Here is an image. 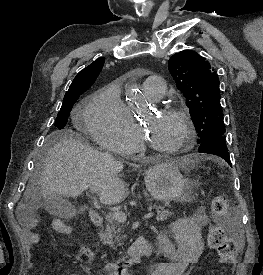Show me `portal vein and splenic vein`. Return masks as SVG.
<instances>
[{"label": "portal vein and splenic vein", "instance_id": "portal-vein-and-splenic-vein-1", "mask_svg": "<svg viewBox=\"0 0 263 275\" xmlns=\"http://www.w3.org/2000/svg\"><path fill=\"white\" fill-rule=\"evenodd\" d=\"M90 192L94 194L96 191L94 188H91ZM111 214L113 218L120 223H124L127 220L126 214L120 210L113 211L111 212ZM153 215H154L153 212H149L144 216V218L148 219V218H151Z\"/></svg>", "mask_w": 263, "mask_h": 275}]
</instances>
